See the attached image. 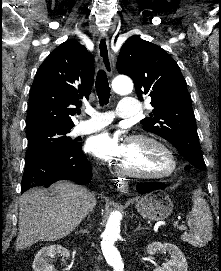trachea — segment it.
I'll return each mask as SVG.
<instances>
[{
	"instance_id": "trachea-1",
	"label": "trachea",
	"mask_w": 221,
	"mask_h": 271,
	"mask_svg": "<svg viewBox=\"0 0 221 271\" xmlns=\"http://www.w3.org/2000/svg\"><path fill=\"white\" fill-rule=\"evenodd\" d=\"M95 89L99 98L100 106L107 105L110 99V86L107 75L103 69H100L97 73ZM80 112L81 110H78V113Z\"/></svg>"
}]
</instances>
